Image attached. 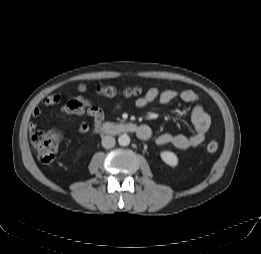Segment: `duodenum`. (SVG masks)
I'll list each match as a JSON object with an SVG mask.
<instances>
[{
	"mask_svg": "<svg viewBox=\"0 0 261 254\" xmlns=\"http://www.w3.org/2000/svg\"><path fill=\"white\" fill-rule=\"evenodd\" d=\"M140 127L135 123H105L95 129L100 134H128L138 133Z\"/></svg>",
	"mask_w": 261,
	"mask_h": 254,
	"instance_id": "obj_1",
	"label": "duodenum"
}]
</instances>
